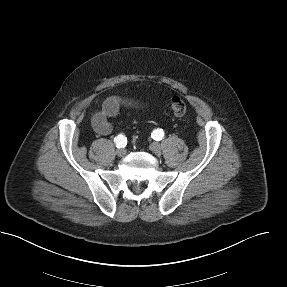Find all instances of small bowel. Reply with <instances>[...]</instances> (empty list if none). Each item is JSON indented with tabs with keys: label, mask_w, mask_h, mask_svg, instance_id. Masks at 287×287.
Instances as JSON below:
<instances>
[{
	"label": "small bowel",
	"mask_w": 287,
	"mask_h": 287,
	"mask_svg": "<svg viewBox=\"0 0 287 287\" xmlns=\"http://www.w3.org/2000/svg\"><path fill=\"white\" fill-rule=\"evenodd\" d=\"M142 106L143 103L135 99L119 96L108 97L101 109L92 116V127L97 134L108 135L113 130L111 119L116 117L122 108H138Z\"/></svg>",
	"instance_id": "small-bowel-1"
}]
</instances>
